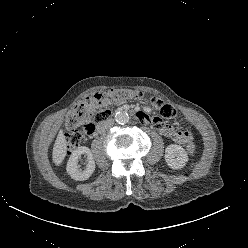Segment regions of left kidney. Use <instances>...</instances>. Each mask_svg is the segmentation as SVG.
I'll use <instances>...</instances> for the list:
<instances>
[{"mask_svg":"<svg viewBox=\"0 0 248 248\" xmlns=\"http://www.w3.org/2000/svg\"><path fill=\"white\" fill-rule=\"evenodd\" d=\"M165 161L170 168L181 169L188 162V155L182 146L171 144L165 149Z\"/></svg>","mask_w":248,"mask_h":248,"instance_id":"obj_1","label":"left kidney"}]
</instances>
